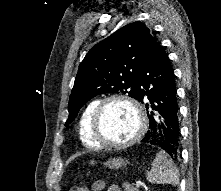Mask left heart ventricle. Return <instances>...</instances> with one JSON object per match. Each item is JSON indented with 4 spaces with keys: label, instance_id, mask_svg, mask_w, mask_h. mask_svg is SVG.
Returning a JSON list of instances; mask_svg holds the SVG:
<instances>
[{
    "label": "left heart ventricle",
    "instance_id": "obj_1",
    "mask_svg": "<svg viewBox=\"0 0 221 191\" xmlns=\"http://www.w3.org/2000/svg\"><path fill=\"white\" fill-rule=\"evenodd\" d=\"M101 124L105 140L120 143L135 134L138 118L130 105L122 101H114L106 106Z\"/></svg>",
    "mask_w": 221,
    "mask_h": 191
}]
</instances>
